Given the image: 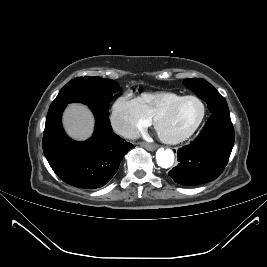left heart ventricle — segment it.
<instances>
[{"label": "left heart ventricle", "mask_w": 267, "mask_h": 267, "mask_svg": "<svg viewBox=\"0 0 267 267\" xmlns=\"http://www.w3.org/2000/svg\"><path fill=\"white\" fill-rule=\"evenodd\" d=\"M201 112L202 106L198 101L187 100L160 121L158 131L168 137L183 135L198 121Z\"/></svg>", "instance_id": "obj_1"}]
</instances>
